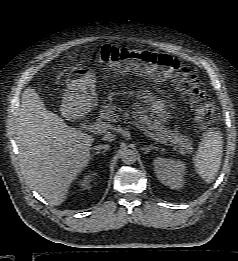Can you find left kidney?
<instances>
[{
	"label": "left kidney",
	"instance_id": "1",
	"mask_svg": "<svg viewBox=\"0 0 238 261\" xmlns=\"http://www.w3.org/2000/svg\"><path fill=\"white\" fill-rule=\"evenodd\" d=\"M154 171L160 182L172 189H181L184 185L185 164L180 160L156 157Z\"/></svg>",
	"mask_w": 238,
	"mask_h": 261
}]
</instances>
